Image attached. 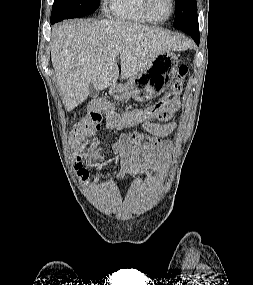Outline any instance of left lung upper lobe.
Returning a JSON list of instances; mask_svg holds the SVG:
<instances>
[{
  "label": "left lung upper lobe",
  "mask_w": 253,
  "mask_h": 285,
  "mask_svg": "<svg viewBox=\"0 0 253 285\" xmlns=\"http://www.w3.org/2000/svg\"><path fill=\"white\" fill-rule=\"evenodd\" d=\"M176 15L174 27L182 30L198 22L196 0H175Z\"/></svg>",
  "instance_id": "obj_1"
}]
</instances>
